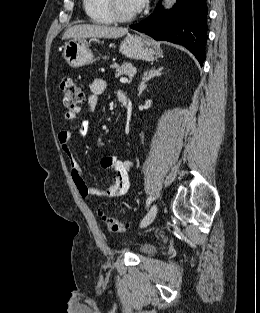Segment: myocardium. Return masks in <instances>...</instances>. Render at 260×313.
I'll return each mask as SVG.
<instances>
[{
  "instance_id": "myocardium-1",
  "label": "myocardium",
  "mask_w": 260,
  "mask_h": 313,
  "mask_svg": "<svg viewBox=\"0 0 260 313\" xmlns=\"http://www.w3.org/2000/svg\"><path fill=\"white\" fill-rule=\"evenodd\" d=\"M105 3H106V9L108 11V14L110 15L113 21L127 22V21H131L135 19L137 16V12H134L132 14H127V15L121 14L116 8L115 0H105Z\"/></svg>"
}]
</instances>
